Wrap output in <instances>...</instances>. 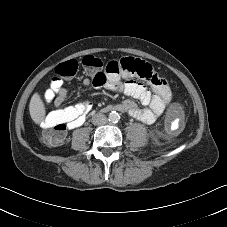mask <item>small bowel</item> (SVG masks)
<instances>
[{
  "label": "small bowel",
  "instance_id": "c3829d8e",
  "mask_svg": "<svg viewBox=\"0 0 227 227\" xmlns=\"http://www.w3.org/2000/svg\"><path fill=\"white\" fill-rule=\"evenodd\" d=\"M107 78L105 85L107 88L114 90L119 86V90L136 99L144 108L138 106V104L132 100L127 99L123 101L119 109L128 113L130 116L147 124L153 123L156 119L166 110L172 100V93L168 84V81L160 77L153 70L149 78H143L148 85L138 83L136 81L128 80L123 84H120V76L111 79L109 74L104 71ZM124 78L132 76L131 73L123 72ZM84 86H89L92 81L89 78H85L82 81ZM66 90L62 87H55L52 82L51 87L44 94V102L47 105H53L56 109L51 111L47 117L42 121V126L51 127L57 122H64L68 129H73L79 126L84 120V114L90 111L93 107V102L87 100L85 102L64 107L63 104L66 99ZM112 108L111 105L106 106V111ZM67 114V118H61V115Z\"/></svg>",
  "mask_w": 227,
  "mask_h": 227
}]
</instances>
